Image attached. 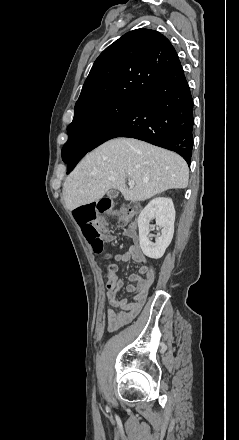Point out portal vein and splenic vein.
Listing matches in <instances>:
<instances>
[{"label":"portal vein and splenic vein","instance_id":"1","mask_svg":"<svg viewBox=\"0 0 239 440\" xmlns=\"http://www.w3.org/2000/svg\"><path fill=\"white\" fill-rule=\"evenodd\" d=\"M134 184H135V182H132V180H129V182H128L129 188H134Z\"/></svg>","mask_w":239,"mask_h":440}]
</instances>
